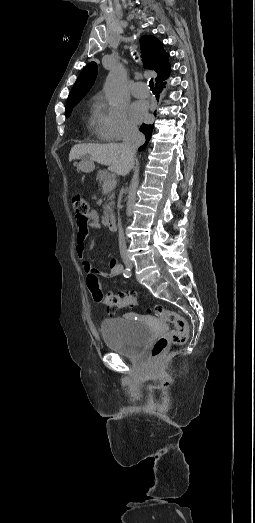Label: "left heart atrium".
Segmentation results:
<instances>
[{"label":"left heart atrium","mask_w":255,"mask_h":523,"mask_svg":"<svg viewBox=\"0 0 255 523\" xmlns=\"http://www.w3.org/2000/svg\"><path fill=\"white\" fill-rule=\"evenodd\" d=\"M131 114L137 121H141L147 116V104L144 101H136L131 107Z\"/></svg>","instance_id":"obj_1"}]
</instances>
